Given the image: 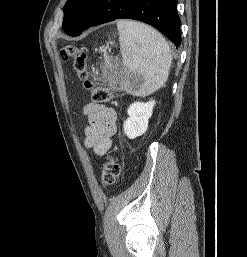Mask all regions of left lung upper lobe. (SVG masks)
Listing matches in <instances>:
<instances>
[{"mask_svg":"<svg viewBox=\"0 0 247 257\" xmlns=\"http://www.w3.org/2000/svg\"><path fill=\"white\" fill-rule=\"evenodd\" d=\"M98 0H67L64 5V21L62 28L71 35L75 33Z\"/></svg>","mask_w":247,"mask_h":257,"instance_id":"obj_1","label":"left lung upper lobe"}]
</instances>
